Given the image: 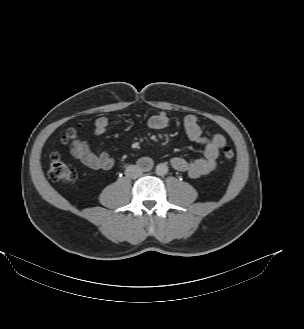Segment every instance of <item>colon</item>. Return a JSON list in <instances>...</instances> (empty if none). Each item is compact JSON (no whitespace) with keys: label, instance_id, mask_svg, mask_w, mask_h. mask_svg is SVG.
Masks as SVG:
<instances>
[{"label":"colon","instance_id":"colon-1","mask_svg":"<svg viewBox=\"0 0 304 329\" xmlns=\"http://www.w3.org/2000/svg\"><path fill=\"white\" fill-rule=\"evenodd\" d=\"M76 139V131L71 129L63 137L62 143L69 146L73 144ZM223 157L228 161L233 160L235 157L233 148L230 146H225L223 148ZM49 176L51 180L56 183L68 184L76 179L77 173L74 168L62 159L59 153H53L50 159Z\"/></svg>","mask_w":304,"mask_h":329}]
</instances>
